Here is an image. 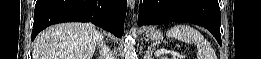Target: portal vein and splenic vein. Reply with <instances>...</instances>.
Listing matches in <instances>:
<instances>
[{"label": "portal vein and splenic vein", "mask_w": 261, "mask_h": 59, "mask_svg": "<svg viewBox=\"0 0 261 59\" xmlns=\"http://www.w3.org/2000/svg\"><path fill=\"white\" fill-rule=\"evenodd\" d=\"M166 53H167V50H165V49H160V50H157V51L155 52V55L159 56V55H161V54H166Z\"/></svg>", "instance_id": "obj_1"}]
</instances>
